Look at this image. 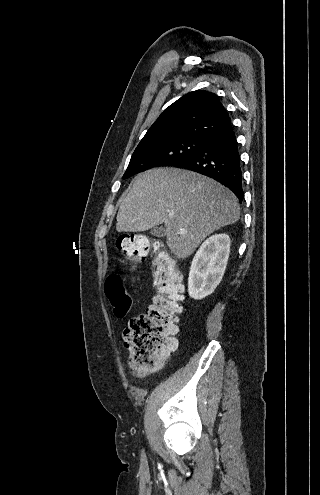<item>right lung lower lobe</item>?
Returning <instances> with one entry per match:
<instances>
[{"instance_id":"1","label":"right lung lower lobe","mask_w":320,"mask_h":495,"mask_svg":"<svg viewBox=\"0 0 320 495\" xmlns=\"http://www.w3.org/2000/svg\"><path fill=\"white\" fill-rule=\"evenodd\" d=\"M174 167L209 176L228 187L242 202V170L234 127L229 124L210 134L201 148Z\"/></svg>"}]
</instances>
